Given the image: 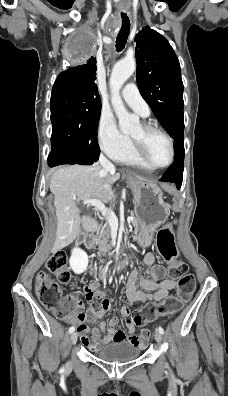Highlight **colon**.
Segmentation results:
<instances>
[{"instance_id": "1", "label": "colon", "mask_w": 228, "mask_h": 396, "mask_svg": "<svg viewBox=\"0 0 228 396\" xmlns=\"http://www.w3.org/2000/svg\"><path fill=\"white\" fill-rule=\"evenodd\" d=\"M156 243L160 255L169 264V276L178 281L177 292L175 295L167 297L160 304L150 303L135 310L132 321L136 326H144L158 316L178 312L192 296L196 287L195 276L188 272L187 264L177 260L173 222H168L159 229ZM47 268L55 275L59 283L69 284L71 282L72 276L65 252L54 253L47 261ZM58 282L44 272L38 273L35 282L36 295L40 303L57 318L61 320L72 319L80 308V303L74 296L63 294ZM99 308L100 304L92 303L90 310L97 311ZM78 315L76 316L77 319Z\"/></svg>"}]
</instances>
